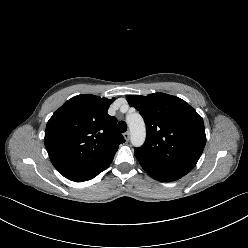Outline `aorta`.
Masks as SVG:
<instances>
[{
  "instance_id": "762f6f07",
  "label": "aorta",
  "mask_w": 248,
  "mask_h": 248,
  "mask_svg": "<svg viewBox=\"0 0 248 248\" xmlns=\"http://www.w3.org/2000/svg\"><path fill=\"white\" fill-rule=\"evenodd\" d=\"M127 124L130 129L132 145L135 147L141 146L146 136L143 118L138 113L130 114L127 117Z\"/></svg>"
}]
</instances>
